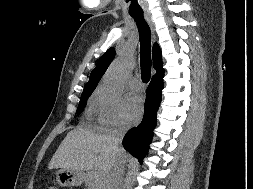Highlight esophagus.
Returning a JSON list of instances; mask_svg holds the SVG:
<instances>
[{
  "label": "esophagus",
  "instance_id": "1",
  "mask_svg": "<svg viewBox=\"0 0 253 189\" xmlns=\"http://www.w3.org/2000/svg\"><path fill=\"white\" fill-rule=\"evenodd\" d=\"M145 19H146L147 23L149 24V26L151 28L152 37H153V40H154L155 39V34H154V28H153L152 21H151V19H150V17L148 15H145Z\"/></svg>",
  "mask_w": 253,
  "mask_h": 189
}]
</instances>
